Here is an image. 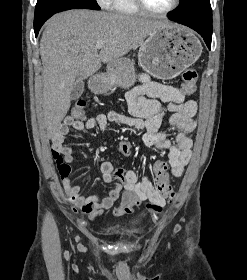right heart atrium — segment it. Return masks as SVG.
I'll list each match as a JSON object with an SVG mask.
<instances>
[{"instance_id":"d8ad5b80","label":"right heart atrium","mask_w":247,"mask_h":280,"mask_svg":"<svg viewBox=\"0 0 247 280\" xmlns=\"http://www.w3.org/2000/svg\"><path fill=\"white\" fill-rule=\"evenodd\" d=\"M96 1L102 7H109L112 0H96Z\"/></svg>"}]
</instances>
